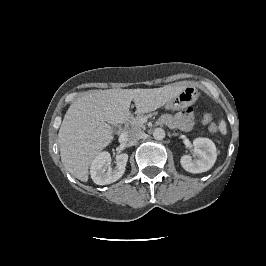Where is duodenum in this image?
<instances>
[{"label": "duodenum", "mask_w": 266, "mask_h": 266, "mask_svg": "<svg viewBox=\"0 0 266 266\" xmlns=\"http://www.w3.org/2000/svg\"><path fill=\"white\" fill-rule=\"evenodd\" d=\"M124 122L122 124H120L117 128L118 132H122L123 131V128H124Z\"/></svg>", "instance_id": "410a0bca"}]
</instances>
